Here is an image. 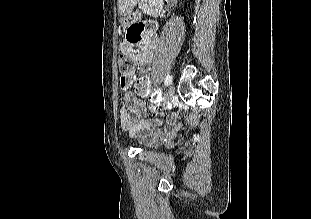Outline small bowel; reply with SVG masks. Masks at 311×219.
<instances>
[{"mask_svg":"<svg viewBox=\"0 0 311 219\" xmlns=\"http://www.w3.org/2000/svg\"><path fill=\"white\" fill-rule=\"evenodd\" d=\"M150 11L153 10L150 9ZM141 32H143V28H141L138 39L134 42H130L127 39L122 40L119 45V50L122 55L130 56L133 59L140 69V81H145L147 83L146 73L153 60L157 40L154 37L152 30L148 29L143 35H141ZM136 43L142 48L140 54H136L134 51V44ZM132 76V72L127 75V85L122 87L125 92L124 105L120 111L122 128L128 131L131 135H139L143 140L151 142L174 134L176 128L168 118L162 123H157L156 129L152 130V125L148 120V113L144 102L140 98V94H135L132 91H129ZM146 95H150L154 100L157 98V95L151 94L149 88ZM155 109V107H152V110Z\"/></svg>","mask_w":311,"mask_h":219,"instance_id":"obj_1","label":"small bowel"}]
</instances>
